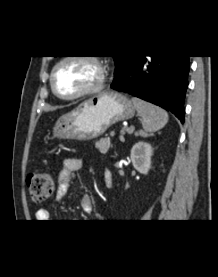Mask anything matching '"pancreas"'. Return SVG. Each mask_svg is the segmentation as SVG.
Segmentation results:
<instances>
[{"instance_id":"1","label":"pancreas","mask_w":218,"mask_h":277,"mask_svg":"<svg viewBox=\"0 0 218 277\" xmlns=\"http://www.w3.org/2000/svg\"><path fill=\"white\" fill-rule=\"evenodd\" d=\"M111 146L110 138H101L95 143V147L99 150L100 153L106 154Z\"/></svg>"}]
</instances>
